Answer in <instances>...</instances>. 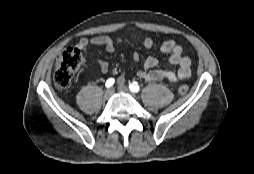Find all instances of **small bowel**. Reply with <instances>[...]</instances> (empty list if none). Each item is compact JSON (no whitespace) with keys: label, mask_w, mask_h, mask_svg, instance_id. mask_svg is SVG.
<instances>
[{"label":"small bowel","mask_w":254,"mask_h":174,"mask_svg":"<svg viewBox=\"0 0 254 174\" xmlns=\"http://www.w3.org/2000/svg\"><path fill=\"white\" fill-rule=\"evenodd\" d=\"M131 40H141L142 45L149 49L154 45V41L150 37L140 39L137 34L130 36ZM121 43L120 38H111L108 36H96L91 39L81 38L77 44L80 49H85L88 46H97L108 53L116 51L117 46ZM162 53L168 55V61L171 65L178 66V69H159L158 60L155 57L149 56L143 60V69L137 71V76L147 82H155L165 80L171 85H176L180 81L187 80L191 76V60L184 55L182 46L173 40H167L160 45ZM134 61H140L141 56L138 52L132 54ZM94 61L100 68L102 73L109 71V63L98 57H94ZM124 78H119V83H123Z\"/></svg>","instance_id":"1"}]
</instances>
